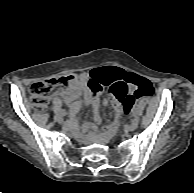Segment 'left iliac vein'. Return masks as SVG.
<instances>
[{
    "label": "left iliac vein",
    "mask_w": 194,
    "mask_h": 193,
    "mask_svg": "<svg viewBox=\"0 0 194 193\" xmlns=\"http://www.w3.org/2000/svg\"><path fill=\"white\" fill-rule=\"evenodd\" d=\"M136 114H137V111H136V109H134V110L132 111V115H133V116H136ZM138 124H139V118L136 116V117H134V119L132 120V123L130 124L128 130H129V131H134V130L138 127Z\"/></svg>",
    "instance_id": "left-iliac-vein-1"
}]
</instances>
